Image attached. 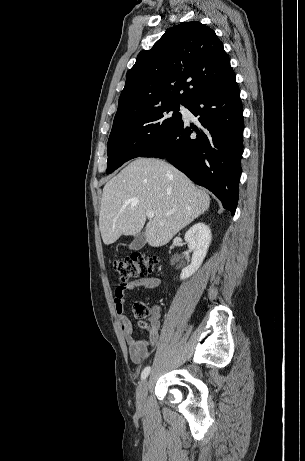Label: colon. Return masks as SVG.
<instances>
[{"label":"colon","mask_w":305,"mask_h":461,"mask_svg":"<svg viewBox=\"0 0 305 461\" xmlns=\"http://www.w3.org/2000/svg\"><path fill=\"white\" fill-rule=\"evenodd\" d=\"M157 258L154 256H145L141 253H135L130 257L114 261L113 268L122 282L141 277H148L157 264ZM133 313L138 318H147L150 310L143 302H135Z\"/></svg>","instance_id":"1"}]
</instances>
